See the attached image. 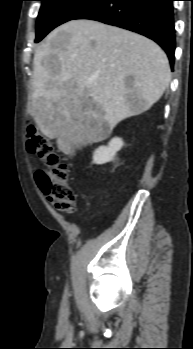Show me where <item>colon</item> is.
Returning a JSON list of instances; mask_svg holds the SVG:
<instances>
[{"label":"colon","instance_id":"obj_1","mask_svg":"<svg viewBox=\"0 0 193 349\" xmlns=\"http://www.w3.org/2000/svg\"><path fill=\"white\" fill-rule=\"evenodd\" d=\"M26 144L28 150L46 166L36 173L40 189L58 210L72 213L76 207V195L69 185V169L60 161L51 140L35 125L28 124Z\"/></svg>","mask_w":193,"mask_h":349}]
</instances>
